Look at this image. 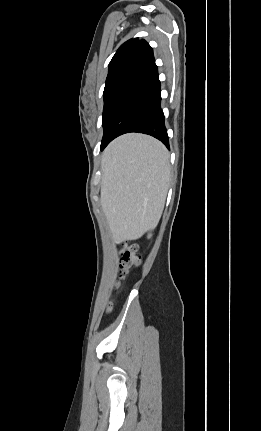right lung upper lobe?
I'll return each instance as SVG.
<instances>
[{"label": "right lung upper lobe", "mask_w": 261, "mask_h": 431, "mask_svg": "<svg viewBox=\"0 0 261 431\" xmlns=\"http://www.w3.org/2000/svg\"><path fill=\"white\" fill-rule=\"evenodd\" d=\"M154 62L153 50L145 40L130 39L120 46L110 61L106 81L127 72H141Z\"/></svg>", "instance_id": "cb5924a9"}]
</instances>
